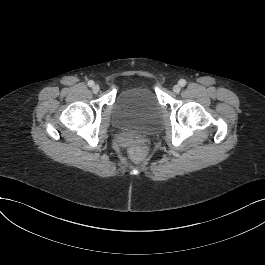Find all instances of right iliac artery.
I'll list each match as a JSON object with an SVG mask.
<instances>
[{
    "mask_svg": "<svg viewBox=\"0 0 265 265\" xmlns=\"http://www.w3.org/2000/svg\"><path fill=\"white\" fill-rule=\"evenodd\" d=\"M93 85H94V81L93 80L88 81V86L89 87H92Z\"/></svg>",
    "mask_w": 265,
    "mask_h": 265,
    "instance_id": "82829eb1",
    "label": "right iliac artery"
}]
</instances>
